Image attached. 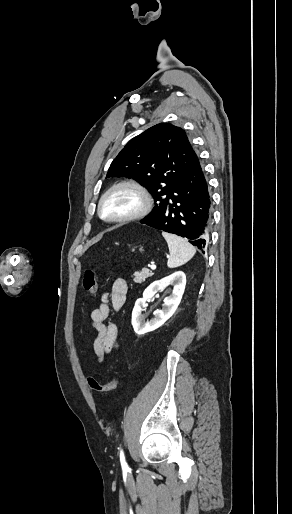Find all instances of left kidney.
Here are the masks:
<instances>
[{"instance_id":"5707ae66","label":"left kidney","mask_w":292,"mask_h":514,"mask_svg":"<svg viewBox=\"0 0 292 514\" xmlns=\"http://www.w3.org/2000/svg\"><path fill=\"white\" fill-rule=\"evenodd\" d=\"M166 286H174L171 296H168V298L163 300L164 304L162 310H155V318H152L149 322H145V316H143L142 310L147 300H149V298H153L159 290L166 288ZM185 286L186 276L184 272H175V274H171V276H167V278H162V280L153 282V284H150V286L144 290L143 298H139V300L135 302L132 312L131 324L138 336L157 330V328L163 326V324L173 316L181 302Z\"/></svg>"}]
</instances>
